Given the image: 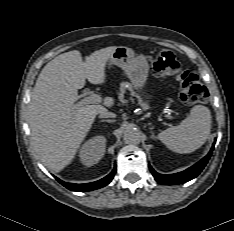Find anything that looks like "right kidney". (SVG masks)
<instances>
[{
    "mask_svg": "<svg viewBox=\"0 0 234 231\" xmlns=\"http://www.w3.org/2000/svg\"><path fill=\"white\" fill-rule=\"evenodd\" d=\"M106 138L104 136H95L86 141L79 152L80 161L85 166L97 164L105 153Z\"/></svg>",
    "mask_w": 234,
    "mask_h": 231,
    "instance_id": "obj_1",
    "label": "right kidney"
}]
</instances>
